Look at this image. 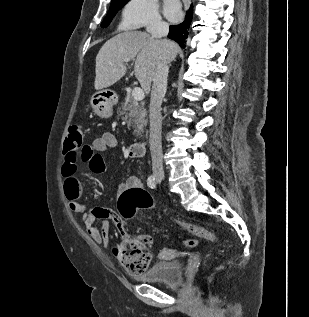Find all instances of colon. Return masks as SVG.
Returning a JSON list of instances; mask_svg holds the SVG:
<instances>
[{
  "mask_svg": "<svg viewBox=\"0 0 309 317\" xmlns=\"http://www.w3.org/2000/svg\"><path fill=\"white\" fill-rule=\"evenodd\" d=\"M82 136L81 126L73 124L69 127L65 142V159L67 161H76L77 157H82L87 153L88 146L82 147ZM153 206V200L149 193L138 188L123 192L118 203L119 212L126 219L132 218L138 210L149 209ZM174 222L198 238L219 242L218 236L207 228L177 219H174ZM183 244L187 247H195L198 241L196 239H186ZM114 254L122 267L130 274L143 273L152 258L151 238L147 235L125 233L122 242L114 249Z\"/></svg>",
  "mask_w": 309,
  "mask_h": 317,
  "instance_id": "1",
  "label": "colon"
}]
</instances>
